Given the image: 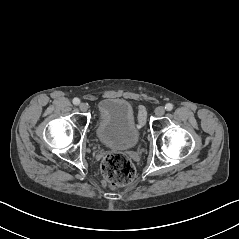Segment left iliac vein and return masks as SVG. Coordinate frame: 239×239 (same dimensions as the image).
<instances>
[{
	"label": "left iliac vein",
	"mask_w": 239,
	"mask_h": 239,
	"mask_svg": "<svg viewBox=\"0 0 239 239\" xmlns=\"http://www.w3.org/2000/svg\"><path fill=\"white\" fill-rule=\"evenodd\" d=\"M165 113V109L163 106H159L155 109V115L156 116H163Z\"/></svg>",
	"instance_id": "left-iliac-vein-1"
}]
</instances>
